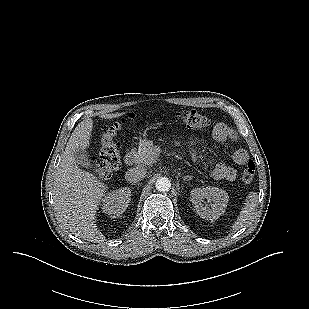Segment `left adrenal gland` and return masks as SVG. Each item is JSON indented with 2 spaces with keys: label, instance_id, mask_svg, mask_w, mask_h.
Returning a JSON list of instances; mask_svg holds the SVG:
<instances>
[{
  "label": "left adrenal gland",
  "instance_id": "obj_1",
  "mask_svg": "<svg viewBox=\"0 0 309 309\" xmlns=\"http://www.w3.org/2000/svg\"><path fill=\"white\" fill-rule=\"evenodd\" d=\"M187 179H188V180H191V179H192V177H191V176H188V175H187V176H185V177H183V180H184V181H186Z\"/></svg>",
  "mask_w": 309,
  "mask_h": 309
}]
</instances>
